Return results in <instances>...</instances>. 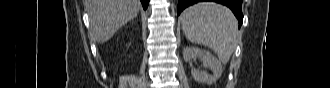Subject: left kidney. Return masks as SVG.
<instances>
[{"instance_id":"1","label":"left kidney","mask_w":330,"mask_h":88,"mask_svg":"<svg viewBox=\"0 0 330 88\" xmlns=\"http://www.w3.org/2000/svg\"><path fill=\"white\" fill-rule=\"evenodd\" d=\"M200 58L202 60L203 66L210 68L213 72L212 75L205 71H200L198 69H191V74L195 81L199 83L212 84L216 82L222 72L223 67L221 62L215 58L209 51L199 49L197 47H186L183 49V58L185 61L189 62L195 58Z\"/></svg>"}]
</instances>
